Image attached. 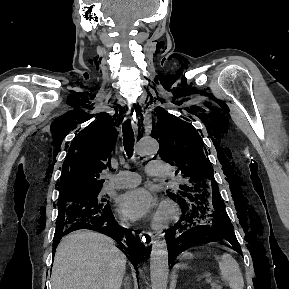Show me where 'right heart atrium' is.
Segmentation results:
<instances>
[{"label":"right heart atrium","mask_w":289,"mask_h":289,"mask_svg":"<svg viewBox=\"0 0 289 289\" xmlns=\"http://www.w3.org/2000/svg\"><path fill=\"white\" fill-rule=\"evenodd\" d=\"M119 222H120L122 225H126V224H127L126 220H125L124 218H122V217L119 218Z\"/></svg>","instance_id":"obj_1"}]
</instances>
